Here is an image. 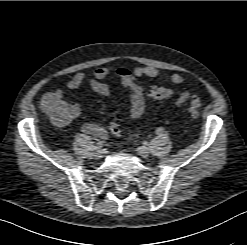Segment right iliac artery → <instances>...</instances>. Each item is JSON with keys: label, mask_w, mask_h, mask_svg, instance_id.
<instances>
[{"label": "right iliac artery", "mask_w": 247, "mask_h": 245, "mask_svg": "<svg viewBox=\"0 0 247 245\" xmlns=\"http://www.w3.org/2000/svg\"><path fill=\"white\" fill-rule=\"evenodd\" d=\"M96 149H101L102 147H103V142L102 141H98L97 143H96Z\"/></svg>", "instance_id": "right-iliac-artery-1"}]
</instances>
